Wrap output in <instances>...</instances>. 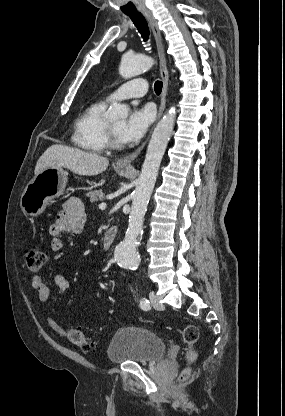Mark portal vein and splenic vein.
Returning a JSON list of instances; mask_svg holds the SVG:
<instances>
[{
	"mask_svg": "<svg viewBox=\"0 0 285 416\" xmlns=\"http://www.w3.org/2000/svg\"><path fill=\"white\" fill-rule=\"evenodd\" d=\"M105 208H107V204H104V202L103 204H100L99 210H105Z\"/></svg>",
	"mask_w": 285,
	"mask_h": 416,
	"instance_id": "portal-vein-and-splenic-vein-1",
	"label": "portal vein and splenic vein"
}]
</instances>
